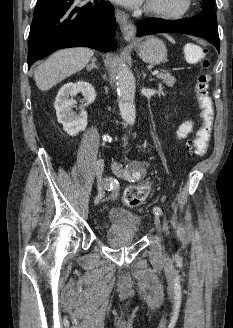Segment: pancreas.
Returning a JSON list of instances; mask_svg holds the SVG:
<instances>
[{"mask_svg": "<svg viewBox=\"0 0 233 328\" xmlns=\"http://www.w3.org/2000/svg\"><path fill=\"white\" fill-rule=\"evenodd\" d=\"M158 79H161L168 87H173L176 82L175 77H173L170 73H160L157 75Z\"/></svg>", "mask_w": 233, "mask_h": 328, "instance_id": "pancreas-1", "label": "pancreas"}]
</instances>
